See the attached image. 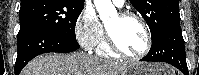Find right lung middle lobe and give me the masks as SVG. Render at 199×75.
<instances>
[{
    "instance_id": "1",
    "label": "right lung middle lobe",
    "mask_w": 199,
    "mask_h": 75,
    "mask_svg": "<svg viewBox=\"0 0 199 75\" xmlns=\"http://www.w3.org/2000/svg\"><path fill=\"white\" fill-rule=\"evenodd\" d=\"M83 7L84 3H72L65 0L21 3L20 31L41 28L65 39L76 41L75 25Z\"/></svg>"
}]
</instances>
